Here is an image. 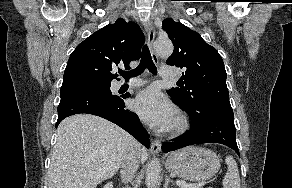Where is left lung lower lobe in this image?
Here are the masks:
<instances>
[{"mask_svg": "<svg viewBox=\"0 0 292 188\" xmlns=\"http://www.w3.org/2000/svg\"><path fill=\"white\" fill-rule=\"evenodd\" d=\"M203 143H220L234 149L239 154L232 109L213 110L201 122L191 123V129L182 138L164 143L162 151L167 153L189 145Z\"/></svg>", "mask_w": 292, "mask_h": 188, "instance_id": "obj_1", "label": "left lung lower lobe"}]
</instances>
